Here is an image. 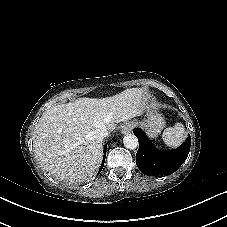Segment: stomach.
I'll return each mask as SVG.
<instances>
[{
    "instance_id": "0dacf381",
    "label": "stomach",
    "mask_w": 227,
    "mask_h": 227,
    "mask_svg": "<svg viewBox=\"0 0 227 227\" xmlns=\"http://www.w3.org/2000/svg\"><path fill=\"white\" fill-rule=\"evenodd\" d=\"M139 125L147 132L149 137L154 138L165 127V120L161 114H152L146 120L139 122Z\"/></svg>"
}]
</instances>
